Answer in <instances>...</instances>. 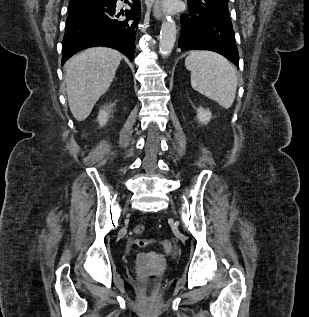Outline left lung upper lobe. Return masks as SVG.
Instances as JSON below:
<instances>
[{"label":"left lung upper lobe","mask_w":309,"mask_h":317,"mask_svg":"<svg viewBox=\"0 0 309 317\" xmlns=\"http://www.w3.org/2000/svg\"><path fill=\"white\" fill-rule=\"evenodd\" d=\"M188 6L229 16L228 0H187Z\"/></svg>","instance_id":"obj_1"}]
</instances>
